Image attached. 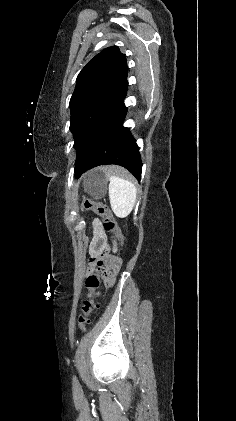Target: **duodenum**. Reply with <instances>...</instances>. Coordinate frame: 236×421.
<instances>
[{
  "label": "duodenum",
  "mask_w": 236,
  "mask_h": 421,
  "mask_svg": "<svg viewBox=\"0 0 236 421\" xmlns=\"http://www.w3.org/2000/svg\"><path fill=\"white\" fill-rule=\"evenodd\" d=\"M118 267H119V262H118V261H116V260H110V261H109V264H108V268H109V269L116 270V269H118ZM105 281H106L107 283H110V281H111V276H110V275H106V277H105Z\"/></svg>",
  "instance_id": "410a0bca"
}]
</instances>
